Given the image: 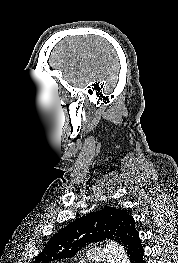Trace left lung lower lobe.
<instances>
[{
	"label": "left lung lower lobe",
	"instance_id": "1",
	"mask_svg": "<svg viewBox=\"0 0 178 263\" xmlns=\"http://www.w3.org/2000/svg\"><path fill=\"white\" fill-rule=\"evenodd\" d=\"M119 244L125 247L131 263H145L143 260L144 249L140 243L133 217H130L124 226Z\"/></svg>",
	"mask_w": 178,
	"mask_h": 263
}]
</instances>
